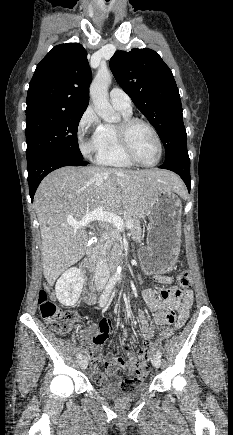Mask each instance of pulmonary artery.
Segmentation results:
<instances>
[{
	"label": "pulmonary artery",
	"mask_w": 233,
	"mask_h": 435,
	"mask_svg": "<svg viewBox=\"0 0 233 435\" xmlns=\"http://www.w3.org/2000/svg\"><path fill=\"white\" fill-rule=\"evenodd\" d=\"M110 101L116 108L126 112L132 111V102L127 93L120 88H113L109 93Z\"/></svg>",
	"instance_id": "obj_1"
}]
</instances>
